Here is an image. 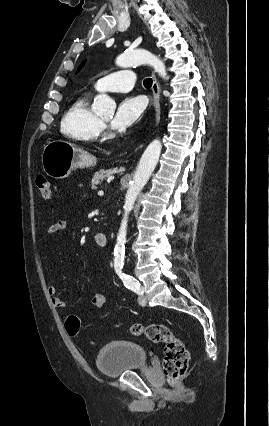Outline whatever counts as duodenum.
I'll use <instances>...</instances> for the list:
<instances>
[{
  "instance_id": "duodenum-1",
  "label": "duodenum",
  "mask_w": 269,
  "mask_h": 426,
  "mask_svg": "<svg viewBox=\"0 0 269 426\" xmlns=\"http://www.w3.org/2000/svg\"><path fill=\"white\" fill-rule=\"evenodd\" d=\"M96 244L100 247H105L108 243V236L105 233H97L95 235Z\"/></svg>"
}]
</instances>
